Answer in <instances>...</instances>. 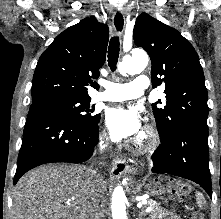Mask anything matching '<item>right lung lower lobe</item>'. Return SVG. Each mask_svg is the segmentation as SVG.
Returning <instances> with one entry per match:
<instances>
[{
	"label": "right lung lower lobe",
	"mask_w": 221,
	"mask_h": 219,
	"mask_svg": "<svg viewBox=\"0 0 221 219\" xmlns=\"http://www.w3.org/2000/svg\"><path fill=\"white\" fill-rule=\"evenodd\" d=\"M98 136V124L90 127L56 113L29 111L14 184L24 173L42 164L88 160L98 143Z\"/></svg>",
	"instance_id": "98d812e1"
}]
</instances>
